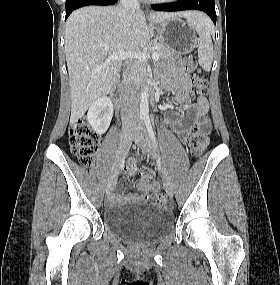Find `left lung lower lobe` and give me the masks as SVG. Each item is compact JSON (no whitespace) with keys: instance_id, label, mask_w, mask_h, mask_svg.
<instances>
[{"instance_id":"0a47b994","label":"left lung lower lobe","mask_w":280,"mask_h":285,"mask_svg":"<svg viewBox=\"0 0 280 285\" xmlns=\"http://www.w3.org/2000/svg\"><path fill=\"white\" fill-rule=\"evenodd\" d=\"M156 11H182V10H200L205 12L216 24V11L214 0H177L174 3L152 5Z\"/></svg>"}]
</instances>
